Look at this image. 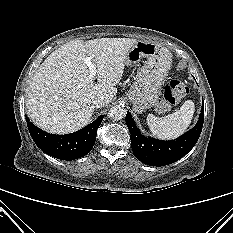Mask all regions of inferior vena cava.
Masks as SVG:
<instances>
[{"mask_svg":"<svg viewBox=\"0 0 233 233\" xmlns=\"http://www.w3.org/2000/svg\"><path fill=\"white\" fill-rule=\"evenodd\" d=\"M106 104V101L104 100V98L102 97H96L93 101H92V105L95 108H101Z\"/></svg>","mask_w":233,"mask_h":233,"instance_id":"obj_1","label":"inferior vena cava"}]
</instances>
